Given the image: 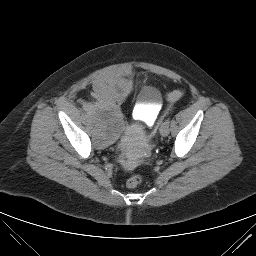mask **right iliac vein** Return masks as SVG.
<instances>
[{"label":"right iliac vein","mask_w":256,"mask_h":256,"mask_svg":"<svg viewBox=\"0 0 256 256\" xmlns=\"http://www.w3.org/2000/svg\"><path fill=\"white\" fill-rule=\"evenodd\" d=\"M86 115H87V117H88L89 119H92V118L94 117V114H93L92 112H90V111H87V112H86Z\"/></svg>","instance_id":"right-iliac-vein-1"}]
</instances>
